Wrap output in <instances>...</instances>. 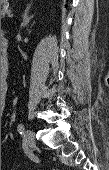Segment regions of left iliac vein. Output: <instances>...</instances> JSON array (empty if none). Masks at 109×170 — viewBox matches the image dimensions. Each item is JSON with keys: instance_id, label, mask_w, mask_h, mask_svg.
I'll use <instances>...</instances> for the list:
<instances>
[{"instance_id": "left-iliac-vein-1", "label": "left iliac vein", "mask_w": 109, "mask_h": 170, "mask_svg": "<svg viewBox=\"0 0 109 170\" xmlns=\"http://www.w3.org/2000/svg\"><path fill=\"white\" fill-rule=\"evenodd\" d=\"M26 141L29 147V152L31 153L36 146V138L31 130L26 131Z\"/></svg>"}]
</instances>
